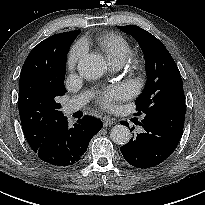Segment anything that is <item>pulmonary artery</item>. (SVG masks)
I'll return each instance as SVG.
<instances>
[{
	"mask_svg": "<svg viewBox=\"0 0 205 205\" xmlns=\"http://www.w3.org/2000/svg\"><path fill=\"white\" fill-rule=\"evenodd\" d=\"M120 67H121V64L119 63H115L112 65L113 69H119ZM88 98L89 96L87 93H83V94L73 97L63 106L64 113L71 114L81 109L87 103Z\"/></svg>",
	"mask_w": 205,
	"mask_h": 205,
	"instance_id": "pulmonary-artery-1",
	"label": "pulmonary artery"
}]
</instances>
